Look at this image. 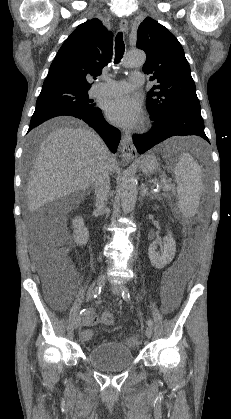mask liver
I'll list each match as a JSON object with an SVG mask.
<instances>
[{"label": "liver", "instance_id": "1", "mask_svg": "<svg viewBox=\"0 0 231 419\" xmlns=\"http://www.w3.org/2000/svg\"><path fill=\"white\" fill-rule=\"evenodd\" d=\"M64 120H52L41 128L49 133L39 146L28 182L27 204L31 212L90 188L99 165L107 158L110 170L117 169L116 159L96 133L82 127L59 126Z\"/></svg>", "mask_w": 231, "mask_h": 419}]
</instances>
